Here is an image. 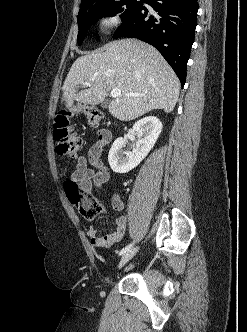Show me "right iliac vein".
<instances>
[{
  "mask_svg": "<svg viewBox=\"0 0 247 332\" xmlns=\"http://www.w3.org/2000/svg\"><path fill=\"white\" fill-rule=\"evenodd\" d=\"M138 248H132L126 253H124L119 262L118 268L121 269L133 256L137 253Z\"/></svg>",
  "mask_w": 247,
  "mask_h": 332,
  "instance_id": "63e3f726",
  "label": "right iliac vein"
}]
</instances>
